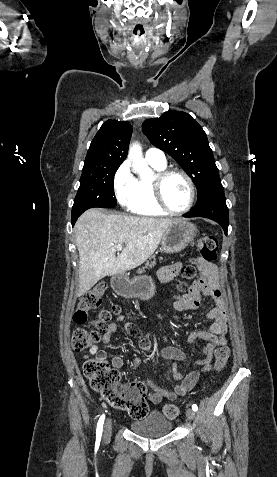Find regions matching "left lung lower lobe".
I'll return each instance as SVG.
<instances>
[{
  "mask_svg": "<svg viewBox=\"0 0 277 477\" xmlns=\"http://www.w3.org/2000/svg\"><path fill=\"white\" fill-rule=\"evenodd\" d=\"M222 184L213 188L207 197L184 217H204L220 224L227 235L229 216Z\"/></svg>",
  "mask_w": 277,
  "mask_h": 477,
  "instance_id": "obj_1",
  "label": "left lung lower lobe"
}]
</instances>
